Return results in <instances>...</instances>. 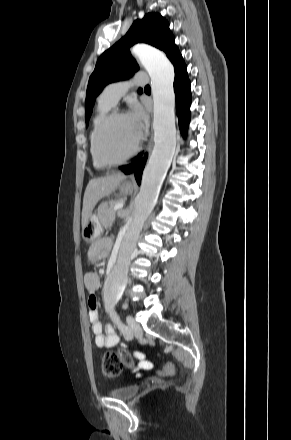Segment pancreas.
<instances>
[{"label": "pancreas", "mask_w": 291, "mask_h": 440, "mask_svg": "<svg viewBox=\"0 0 291 440\" xmlns=\"http://www.w3.org/2000/svg\"><path fill=\"white\" fill-rule=\"evenodd\" d=\"M122 203L121 200L119 201H111L109 203H102L98 207V218L101 223V225L104 228H109L112 226V224L115 221L116 218V211H113V208L115 205Z\"/></svg>", "instance_id": "cf45deb5"}]
</instances>
